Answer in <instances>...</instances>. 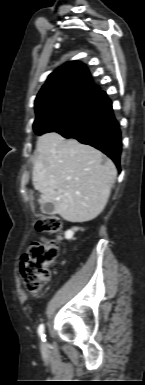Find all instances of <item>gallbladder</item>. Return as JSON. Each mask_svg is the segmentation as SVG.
Masks as SVG:
<instances>
[{
    "mask_svg": "<svg viewBox=\"0 0 145 385\" xmlns=\"http://www.w3.org/2000/svg\"><path fill=\"white\" fill-rule=\"evenodd\" d=\"M41 211L44 214L51 215L55 213V207L53 203H43L41 205Z\"/></svg>",
    "mask_w": 145,
    "mask_h": 385,
    "instance_id": "obj_1",
    "label": "gallbladder"
}]
</instances>
